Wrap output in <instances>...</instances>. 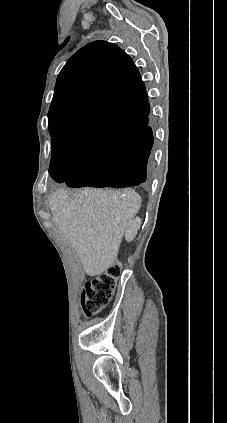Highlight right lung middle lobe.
<instances>
[{
	"label": "right lung middle lobe",
	"instance_id": "right-lung-middle-lobe-1",
	"mask_svg": "<svg viewBox=\"0 0 227 423\" xmlns=\"http://www.w3.org/2000/svg\"><path fill=\"white\" fill-rule=\"evenodd\" d=\"M87 153L78 152L67 148L63 145L52 143V159L53 161L66 160L72 165V172L78 167L82 159Z\"/></svg>",
	"mask_w": 227,
	"mask_h": 423
}]
</instances>
